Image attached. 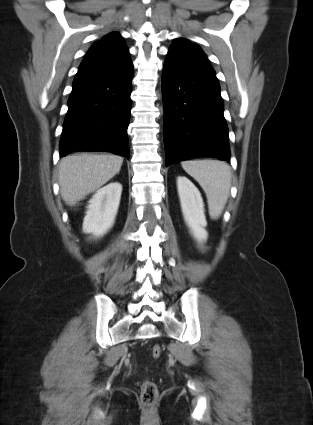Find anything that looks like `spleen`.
Segmentation results:
<instances>
[{"label":"spleen","instance_id":"3e777b00","mask_svg":"<svg viewBox=\"0 0 313 425\" xmlns=\"http://www.w3.org/2000/svg\"><path fill=\"white\" fill-rule=\"evenodd\" d=\"M181 165L203 188L210 217L218 219L230 194V166L218 160L183 161Z\"/></svg>","mask_w":313,"mask_h":425}]
</instances>
